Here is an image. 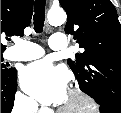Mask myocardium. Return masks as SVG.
Segmentation results:
<instances>
[{
	"mask_svg": "<svg viewBox=\"0 0 121 113\" xmlns=\"http://www.w3.org/2000/svg\"><path fill=\"white\" fill-rule=\"evenodd\" d=\"M68 93L77 98L80 104L71 108H60V110L66 113H79L77 112L78 110L95 111L99 109V105L96 99L88 94L86 91H84L82 88L72 87L68 90Z\"/></svg>",
	"mask_w": 121,
	"mask_h": 113,
	"instance_id": "f54148a6",
	"label": "myocardium"
}]
</instances>
